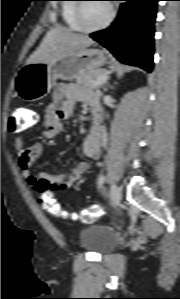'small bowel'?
Returning a JSON list of instances; mask_svg holds the SVG:
<instances>
[{
    "mask_svg": "<svg viewBox=\"0 0 180 299\" xmlns=\"http://www.w3.org/2000/svg\"><path fill=\"white\" fill-rule=\"evenodd\" d=\"M96 101L97 95L95 93L84 90L75 84H57L53 92V101L44 112V138L51 140L61 133L63 121L69 119L74 114L75 107L78 103L94 105ZM100 143L101 131L95 126L87 134L82 143L83 154L92 160L98 159L100 156ZM15 147L19 152L22 173L33 188H35L38 182L48 183L52 185V187H70L75 184L90 167L88 162H79L59 174H34L30 168L41 155L42 145L40 143H34L29 147H25V140L19 137L15 140Z\"/></svg>",
    "mask_w": 180,
    "mask_h": 299,
    "instance_id": "obj_1",
    "label": "small bowel"
}]
</instances>
